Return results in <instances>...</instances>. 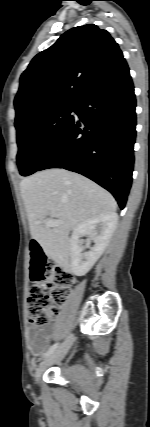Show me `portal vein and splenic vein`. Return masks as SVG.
<instances>
[{
    "instance_id": "obj_1",
    "label": "portal vein and splenic vein",
    "mask_w": 150,
    "mask_h": 427,
    "mask_svg": "<svg viewBox=\"0 0 150 427\" xmlns=\"http://www.w3.org/2000/svg\"><path fill=\"white\" fill-rule=\"evenodd\" d=\"M62 223H63L62 221H57V220H52V219H49L46 221V225L49 227H55V226H58Z\"/></svg>"
}]
</instances>
